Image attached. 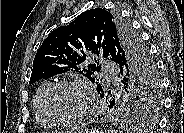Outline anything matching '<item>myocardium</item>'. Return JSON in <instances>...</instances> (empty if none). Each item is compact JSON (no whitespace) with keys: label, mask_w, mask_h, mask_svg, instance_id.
I'll return each instance as SVG.
<instances>
[{"label":"myocardium","mask_w":184,"mask_h":133,"mask_svg":"<svg viewBox=\"0 0 184 133\" xmlns=\"http://www.w3.org/2000/svg\"><path fill=\"white\" fill-rule=\"evenodd\" d=\"M58 87H72L77 89L82 95L83 99V108L81 112L73 118L70 119H58L52 116L48 109V99L50 94ZM41 109L43 111L44 116L49 121L50 124L58 125V126H74L85 121L92 112L91 101H90V92L88 87L76 80H60L52 83L44 92L41 100Z\"/></svg>","instance_id":"myocardium-1"}]
</instances>
